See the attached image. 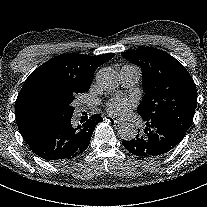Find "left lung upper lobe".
I'll return each mask as SVG.
<instances>
[{
    "label": "left lung upper lobe",
    "mask_w": 207,
    "mask_h": 207,
    "mask_svg": "<svg viewBox=\"0 0 207 207\" xmlns=\"http://www.w3.org/2000/svg\"><path fill=\"white\" fill-rule=\"evenodd\" d=\"M121 55L142 70L144 96L137 108L142 119L168 122L186 134L194 116L197 90L185 67L156 48L145 47Z\"/></svg>",
    "instance_id": "1"
}]
</instances>
